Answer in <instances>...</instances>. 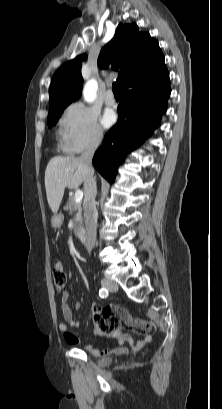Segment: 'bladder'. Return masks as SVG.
Returning <instances> with one entry per match:
<instances>
[{
  "instance_id": "1",
  "label": "bladder",
  "mask_w": 222,
  "mask_h": 409,
  "mask_svg": "<svg viewBox=\"0 0 222 409\" xmlns=\"http://www.w3.org/2000/svg\"><path fill=\"white\" fill-rule=\"evenodd\" d=\"M111 361H112V359L110 358V357H102L100 360H99V366L100 367H103V368H105V367H107L110 363H111Z\"/></svg>"
}]
</instances>
